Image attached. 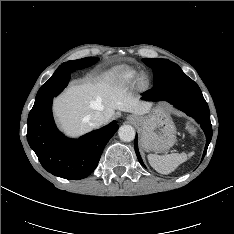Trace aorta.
Instances as JSON below:
<instances>
[{"instance_id":"1","label":"aorta","mask_w":234,"mask_h":234,"mask_svg":"<svg viewBox=\"0 0 234 234\" xmlns=\"http://www.w3.org/2000/svg\"><path fill=\"white\" fill-rule=\"evenodd\" d=\"M119 138L124 142H130L135 138V130L131 125H123L118 130Z\"/></svg>"}]
</instances>
